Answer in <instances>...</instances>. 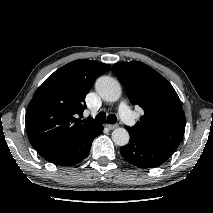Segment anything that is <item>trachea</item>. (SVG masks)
I'll return each instance as SVG.
<instances>
[{
    "label": "trachea",
    "instance_id": "1",
    "mask_svg": "<svg viewBox=\"0 0 213 213\" xmlns=\"http://www.w3.org/2000/svg\"><path fill=\"white\" fill-rule=\"evenodd\" d=\"M95 121L101 124H115L117 122V117L113 114L106 115L104 112H100L96 117Z\"/></svg>",
    "mask_w": 213,
    "mask_h": 213
}]
</instances>
